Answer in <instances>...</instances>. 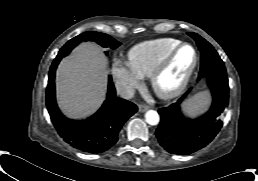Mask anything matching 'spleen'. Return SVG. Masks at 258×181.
Masks as SVG:
<instances>
[{
	"mask_svg": "<svg viewBox=\"0 0 258 181\" xmlns=\"http://www.w3.org/2000/svg\"><path fill=\"white\" fill-rule=\"evenodd\" d=\"M210 104L208 91H201L188 99L183 105V112L190 117L198 116L203 113Z\"/></svg>",
	"mask_w": 258,
	"mask_h": 181,
	"instance_id": "spleen-1",
	"label": "spleen"
}]
</instances>
